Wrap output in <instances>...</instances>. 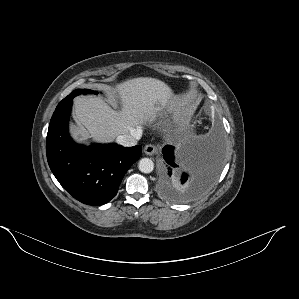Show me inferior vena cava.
Returning <instances> with one entry per match:
<instances>
[{
	"label": "inferior vena cava",
	"mask_w": 299,
	"mask_h": 299,
	"mask_svg": "<svg viewBox=\"0 0 299 299\" xmlns=\"http://www.w3.org/2000/svg\"><path fill=\"white\" fill-rule=\"evenodd\" d=\"M141 138V132L137 129H131L130 133L119 135L116 142L125 147L137 145V140Z\"/></svg>",
	"instance_id": "obj_1"
}]
</instances>
